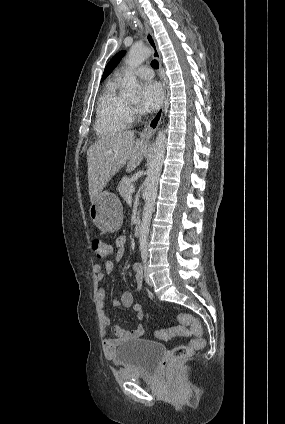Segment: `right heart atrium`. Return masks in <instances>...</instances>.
<instances>
[{"instance_id":"obj_1","label":"right heart atrium","mask_w":285,"mask_h":424,"mask_svg":"<svg viewBox=\"0 0 285 424\" xmlns=\"http://www.w3.org/2000/svg\"><path fill=\"white\" fill-rule=\"evenodd\" d=\"M136 112H137V110H136V108H135V107H130V114H131V115H135V114H136Z\"/></svg>"}]
</instances>
